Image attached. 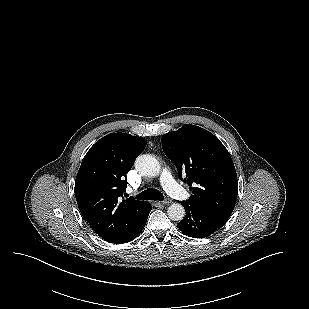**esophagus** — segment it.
Masks as SVG:
<instances>
[{
    "instance_id": "34e87169",
    "label": "esophagus",
    "mask_w": 309,
    "mask_h": 309,
    "mask_svg": "<svg viewBox=\"0 0 309 309\" xmlns=\"http://www.w3.org/2000/svg\"><path fill=\"white\" fill-rule=\"evenodd\" d=\"M172 201L170 200V199H166V200H164V201H160V202H158V204H161V205H168V204H170Z\"/></svg>"
}]
</instances>
